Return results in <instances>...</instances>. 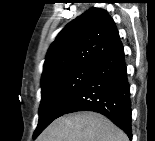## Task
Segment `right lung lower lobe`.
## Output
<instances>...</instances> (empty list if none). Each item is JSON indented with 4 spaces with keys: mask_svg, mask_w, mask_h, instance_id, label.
Here are the masks:
<instances>
[{
    "mask_svg": "<svg viewBox=\"0 0 155 141\" xmlns=\"http://www.w3.org/2000/svg\"><path fill=\"white\" fill-rule=\"evenodd\" d=\"M77 111H94L105 115L132 140L130 87L120 40L94 68L59 117Z\"/></svg>",
    "mask_w": 155,
    "mask_h": 141,
    "instance_id": "right-lung-lower-lobe-1",
    "label": "right lung lower lobe"
}]
</instances>
